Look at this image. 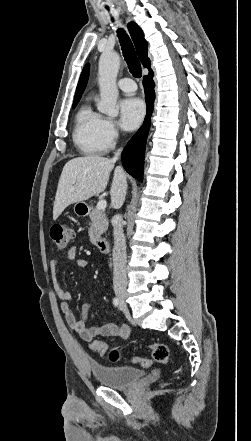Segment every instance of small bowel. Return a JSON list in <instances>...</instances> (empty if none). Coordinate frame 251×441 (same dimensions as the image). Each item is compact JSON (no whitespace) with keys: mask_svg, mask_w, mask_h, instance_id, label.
Returning <instances> with one entry per match:
<instances>
[{"mask_svg":"<svg viewBox=\"0 0 251 441\" xmlns=\"http://www.w3.org/2000/svg\"><path fill=\"white\" fill-rule=\"evenodd\" d=\"M67 258L68 260H75L76 264L81 268H86L89 265V262L86 259H76L73 252H70ZM58 264L59 262L55 259L50 262V270L53 276V290L57 298L61 301L60 309L68 327L77 332L83 340L89 342L94 341L95 338L100 336L128 337L130 329L127 325L119 326L113 323H105L96 326H88L87 322L92 307L89 302L83 303L81 307V317L79 319L76 318L70 305L72 294L65 290L56 278Z\"/></svg>","mask_w":251,"mask_h":441,"instance_id":"c3829d8e","label":"small bowel"}]
</instances>
